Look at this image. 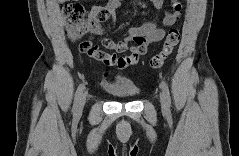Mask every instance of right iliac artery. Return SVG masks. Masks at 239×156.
<instances>
[{"instance_id": "obj_1", "label": "right iliac artery", "mask_w": 239, "mask_h": 156, "mask_svg": "<svg viewBox=\"0 0 239 156\" xmlns=\"http://www.w3.org/2000/svg\"><path fill=\"white\" fill-rule=\"evenodd\" d=\"M83 90H84V84H80L76 93H75V99H74V104H73V113L77 114L78 112V107H79V103L83 94Z\"/></svg>"}]
</instances>
